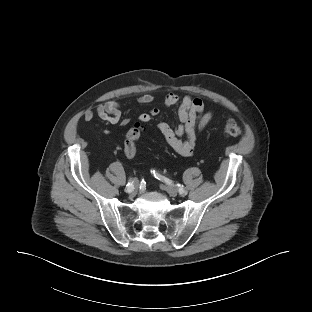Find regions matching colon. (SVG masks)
<instances>
[{
    "label": "colon",
    "mask_w": 312,
    "mask_h": 312,
    "mask_svg": "<svg viewBox=\"0 0 312 312\" xmlns=\"http://www.w3.org/2000/svg\"><path fill=\"white\" fill-rule=\"evenodd\" d=\"M143 132V126L140 123H135L128 130L124 141V154L128 158L135 157L137 153L136 142ZM224 133L228 137H240L243 134V129L234 121L227 120L224 125Z\"/></svg>",
    "instance_id": "obj_1"
}]
</instances>
